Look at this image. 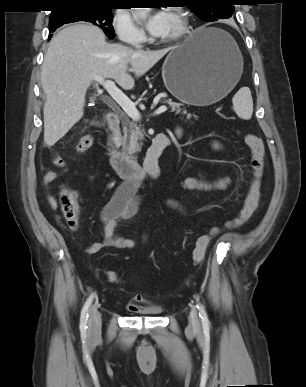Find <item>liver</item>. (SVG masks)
Listing matches in <instances>:
<instances>
[{"mask_svg":"<svg viewBox=\"0 0 306 387\" xmlns=\"http://www.w3.org/2000/svg\"><path fill=\"white\" fill-rule=\"evenodd\" d=\"M173 48L143 51L110 44L102 30L90 24L62 29L50 41L41 71L46 94L44 142L53 146L83 117L86 91L94 77L111 78L131 90L135 80L128 70L140 77Z\"/></svg>","mask_w":306,"mask_h":387,"instance_id":"liver-1","label":"liver"}]
</instances>
